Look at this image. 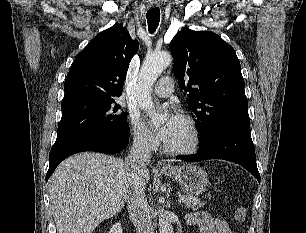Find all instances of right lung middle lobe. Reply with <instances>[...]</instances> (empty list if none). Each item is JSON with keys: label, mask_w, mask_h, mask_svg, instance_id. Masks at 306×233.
Segmentation results:
<instances>
[{"label": "right lung middle lobe", "mask_w": 306, "mask_h": 233, "mask_svg": "<svg viewBox=\"0 0 306 233\" xmlns=\"http://www.w3.org/2000/svg\"><path fill=\"white\" fill-rule=\"evenodd\" d=\"M114 98H79L61 104L62 119L56 142L86 132L128 134L127 115Z\"/></svg>", "instance_id": "obj_1"}]
</instances>
